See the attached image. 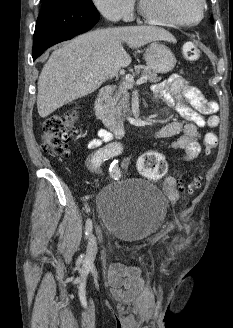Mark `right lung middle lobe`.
Listing matches in <instances>:
<instances>
[{"instance_id":"right-lung-middle-lobe-1","label":"right lung middle lobe","mask_w":233,"mask_h":328,"mask_svg":"<svg viewBox=\"0 0 233 328\" xmlns=\"http://www.w3.org/2000/svg\"><path fill=\"white\" fill-rule=\"evenodd\" d=\"M42 3H58L95 8L91 0H42Z\"/></svg>"}]
</instances>
